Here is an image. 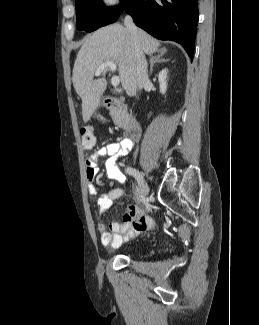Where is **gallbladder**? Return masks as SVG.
Listing matches in <instances>:
<instances>
[{"label": "gallbladder", "mask_w": 259, "mask_h": 325, "mask_svg": "<svg viewBox=\"0 0 259 325\" xmlns=\"http://www.w3.org/2000/svg\"><path fill=\"white\" fill-rule=\"evenodd\" d=\"M98 117L102 120V118L100 116H98Z\"/></svg>", "instance_id": "1"}]
</instances>
